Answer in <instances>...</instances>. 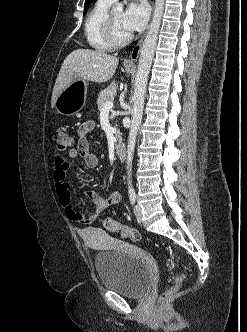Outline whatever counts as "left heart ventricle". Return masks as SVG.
Returning a JSON list of instances; mask_svg holds the SVG:
<instances>
[{"label":"left heart ventricle","instance_id":"b2bd125f","mask_svg":"<svg viewBox=\"0 0 247 332\" xmlns=\"http://www.w3.org/2000/svg\"><path fill=\"white\" fill-rule=\"evenodd\" d=\"M112 21L114 26V31L117 37L123 38L127 35H129V32L124 28L122 23L123 18V12L121 11H115L112 12Z\"/></svg>","mask_w":247,"mask_h":332}]
</instances>
